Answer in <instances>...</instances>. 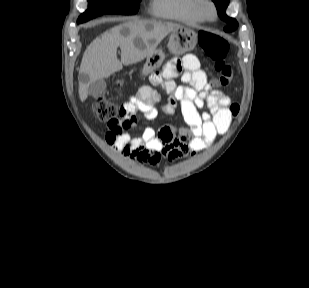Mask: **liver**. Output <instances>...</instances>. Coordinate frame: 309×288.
Masks as SVG:
<instances>
[{"mask_svg": "<svg viewBox=\"0 0 309 288\" xmlns=\"http://www.w3.org/2000/svg\"><path fill=\"white\" fill-rule=\"evenodd\" d=\"M180 25L157 20H128L104 32L91 42L84 52L79 74L86 81L79 82V97L83 102L88 97V86L122 70L123 65L135 64L150 56L157 45ZM142 41L137 47L135 40ZM121 49V60L117 48Z\"/></svg>", "mask_w": 309, "mask_h": 288, "instance_id": "liver-1", "label": "liver"}]
</instances>
